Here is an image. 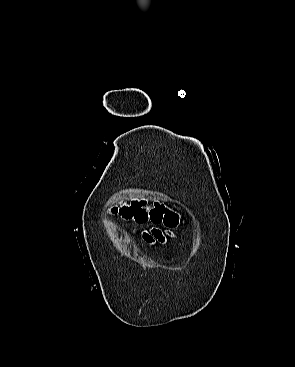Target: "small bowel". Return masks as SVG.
<instances>
[{
  "label": "small bowel",
  "instance_id": "obj_1",
  "mask_svg": "<svg viewBox=\"0 0 295 367\" xmlns=\"http://www.w3.org/2000/svg\"><path fill=\"white\" fill-rule=\"evenodd\" d=\"M153 222L155 224H159L162 222V218L159 220H153ZM166 224L168 226H174L176 222L169 221ZM142 237L148 244L164 243L166 241V233L157 227H153L148 231H144Z\"/></svg>",
  "mask_w": 295,
  "mask_h": 367
}]
</instances>
